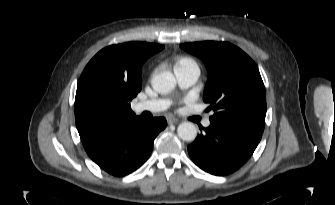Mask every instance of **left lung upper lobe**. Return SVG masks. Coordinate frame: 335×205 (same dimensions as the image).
<instances>
[{
  "label": "left lung upper lobe",
  "instance_id": "left-lung-upper-lobe-1",
  "mask_svg": "<svg viewBox=\"0 0 335 205\" xmlns=\"http://www.w3.org/2000/svg\"><path fill=\"white\" fill-rule=\"evenodd\" d=\"M180 47L201 58L206 65L208 77L203 100L215 111L210 119L263 133L266 93L253 60L227 42L185 43Z\"/></svg>",
  "mask_w": 335,
  "mask_h": 205
}]
</instances>
